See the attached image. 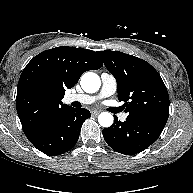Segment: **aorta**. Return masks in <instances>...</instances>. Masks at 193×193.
<instances>
[{
  "instance_id": "aorta-1",
  "label": "aorta",
  "mask_w": 193,
  "mask_h": 193,
  "mask_svg": "<svg viewBox=\"0 0 193 193\" xmlns=\"http://www.w3.org/2000/svg\"><path fill=\"white\" fill-rule=\"evenodd\" d=\"M82 89L86 93H95L101 86L100 77L94 72H86L82 75L80 81ZM114 118L109 112H102L98 116V122L102 127H110L113 124Z\"/></svg>"
}]
</instances>
